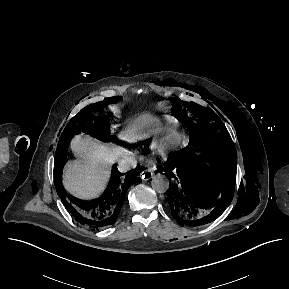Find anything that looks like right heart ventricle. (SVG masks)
Instances as JSON below:
<instances>
[{"label":"right heart ventricle","mask_w":289,"mask_h":289,"mask_svg":"<svg viewBox=\"0 0 289 289\" xmlns=\"http://www.w3.org/2000/svg\"><path fill=\"white\" fill-rule=\"evenodd\" d=\"M174 137L173 134H168L162 138L154 139L148 143V148L155 151L162 150L174 140Z\"/></svg>","instance_id":"right-heart-ventricle-1"}]
</instances>
